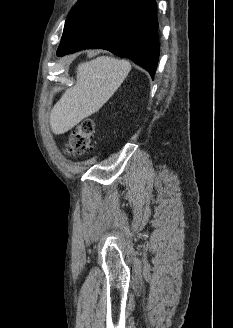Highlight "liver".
I'll return each mask as SVG.
<instances>
[{
    "instance_id": "liver-1",
    "label": "liver",
    "mask_w": 233,
    "mask_h": 328,
    "mask_svg": "<svg viewBox=\"0 0 233 328\" xmlns=\"http://www.w3.org/2000/svg\"><path fill=\"white\" fill-rule=\"evenodd\" d=\"M131 70L126 60L101 56L77 67L76 84L67 89L50 113V127L63 134L96 113L115 93Z\"/></svg>"
}]
</instances>
